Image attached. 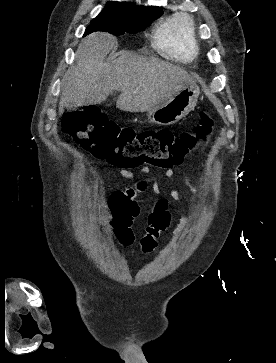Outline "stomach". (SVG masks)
<instances>
[{
    "instance_id": "1",
    "label": "stomach",
    "mask_w": 276,
    "mask_h": 363,
    "mask_svg": "<svg viewBox=\"0 0 276 363\" xmlns=\"http://www.w3.org/2000/svg\"><path fill=\"white\" fill-rule=\"evenodd\" d=\"M199 92L196 84L186 85L168 101L148 111V120L164 126L178 122L195 108Z\"/></svg>"
}]
</instances>
